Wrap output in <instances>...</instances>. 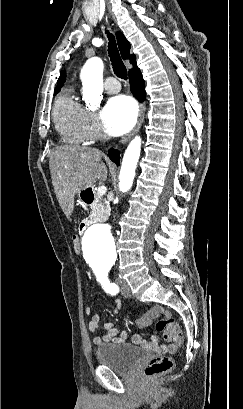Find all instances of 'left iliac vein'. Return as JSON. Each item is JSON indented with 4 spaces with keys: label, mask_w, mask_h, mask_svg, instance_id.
<instances>
[{
    "label": "left iliac vein",
    "mask_w": 243,
    "mask_h": 409,
    "mask_svg": "<svg viewBox=\"0 0 243 409\" xmlns=\"http://www.w3.org/2000/svg\"><path fill=\"white\" fill-rule=\"evenodd\" d=\"M116 283L119 285L120 291L121 293L125 296V297H130V288L127 284V282L125 280H123L122 278H117L116 279Z\"/></svg>",
    "instance_id": "4c4485c4"
}]
</instances>
